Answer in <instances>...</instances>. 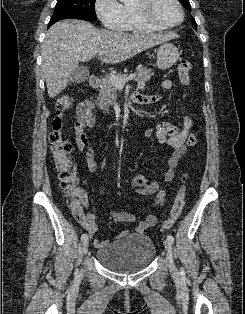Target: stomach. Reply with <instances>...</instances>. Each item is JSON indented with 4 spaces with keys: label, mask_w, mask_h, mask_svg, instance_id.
<instances>
[{
    "label": "stomach",
    "mask_w": 245,
    "mask_h": 314,
    "mask_svg": "<svg viewBox=\"0 0 245 314\" xmlns=\"http://www.w3.org/2000/svg\"><path fill=\"white\" fill-rule=\"evenodd\" d=\"M178 48L171 43H162L157 50L156 66L161 70L172 67L179 58Z\"/></svg>",
    "instance_id": "1"
}]
</instances>
